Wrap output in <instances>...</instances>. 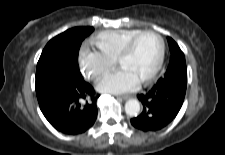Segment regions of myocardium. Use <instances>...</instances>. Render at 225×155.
<instances>
[{
	"mask_svg": "<svg viewBox=\"0 0 225 155\" xmlns=\"http://www.w3.org/2000/svg\"><path fill=\"white\" fill-rule=\"evenodd\" d=\"M146 34H152L154 36H156L160 42V51H159V57L157 60V63L155 65V67L153 68V70L151 71V73L146 76L141 82L142 83H148L150 81H152L159 73L163 62H164V57H165V41L163 39V37L156 31L154 30H141L140 32H138L137 34L133 35L123 46V48L121 49L120 53L118 54L116 60L117 63L120 64V62L127 57L133 50L136 42L144 35Z\"/></svg>",
	"mask_w": 225,
	"mask_h": 155,
	"instance_id": "f54148a6",
	"label": "myocardium"
}]
</instances>
